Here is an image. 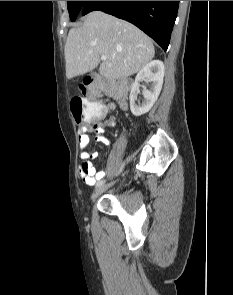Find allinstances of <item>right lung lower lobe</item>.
I'll list each match as a JSON object with an SVG mask.
<instances>
[{"mask_svg":"<svg viewBox=\"0 0 233 295\" xmlns=\"http://www.w3.org/2000/svg\"><path fill=\"white\" fill-rule=\"evenodd\" d=\"M179 1H86L82 15L99 10L127 20L167 50Z\"/></svg>","mask_w":233,"mask_h":295,"instance_id":"right-lung-lower-lobe-1","label":"right lung lower lobe"}]
</instances>
